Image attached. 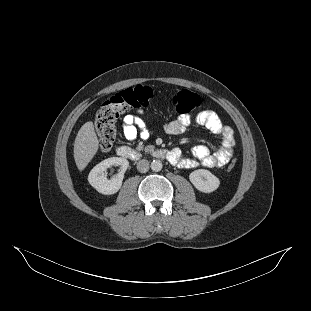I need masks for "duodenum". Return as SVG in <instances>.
Instances as JSON below:
<instances>
[{
  "mask_svg": "<svg viewBox=\"0 0 311 311\" xmlns=\"http://www.w3.org/2000/svg\"><path fill=\"white\" fill-rule=\"evenodd\" d=\"M116 153L118 156L132 161H137L142 157L141 152L127 146H119L116 149ZM149 154L155 158L164 159L169 162H172L174 160L173 152L167 149H153L149 151Z\"/></svg>",
  "mask_w": 311,
  "mask_h": 311,
  "instance_id": "410a0bca",
  "label": "duodenum"
}]
</instances>
